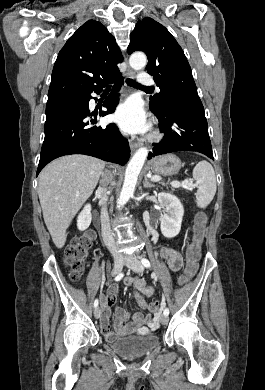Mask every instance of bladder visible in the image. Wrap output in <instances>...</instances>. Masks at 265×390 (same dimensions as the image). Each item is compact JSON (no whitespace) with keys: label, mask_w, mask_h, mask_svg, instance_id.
<instances>
[{"label":"bladder","mask_w":265,"mask_h":390,"mask_svg":"<svg viewBox=\"0 0 265 390\" xmlns=\"http://www.w3.org/2000/svg\"><path fill=\"white\" fill-rule=\"evenodd\" d=\"M160 344L156 335L115 336L109 340L113 351L127 359H135L147 355Z\"/></svg>","instance_id":"obj_1"}]
</instances>
